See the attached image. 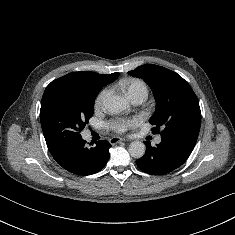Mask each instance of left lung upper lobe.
Returning a JSON list of instances; mask_svg holds the SVG:
<instances>
[{"label": "left lung upper lobe", "mask_w": 235, "mask_h": 235, "mask_svg": "<svg viewBox=\"0 0 235 235\" xmlns=\"http://www.w3.org/2000/svg\"><path fill=\"white\" fill-rule=\"evenodd\" d=\"M142 78L152 89L156 112L149 122L154 133L161 136L187 135L197 138L201 125V111L191 86L177 73L164 67L145 64L128 72Z\"/></svg>", "instance_id": "5c2ea615"}]
</instances>
